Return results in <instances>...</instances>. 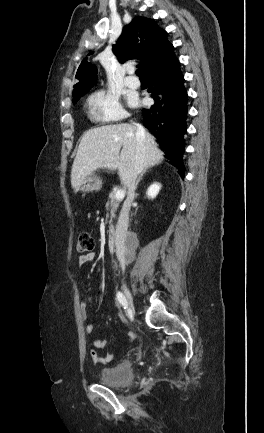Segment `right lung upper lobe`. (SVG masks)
<instances>
[{
    "label": "right lung upper lobe",
    "instance_id": "right-lung-upper-lobe-1",
    "mask_svg": "<svg viewBox=\"0 0 264 433\" xmlns=\"http://www.w3.org/2000/svg\"><path fill=\"white\" fill-rule=\"evenodd\" d=\"M113 53L120 62L138 59L144 75L153 68L168 62L174 54V47L167 39V32L160 29L154 20L137 16L126 25L116 44ZM97 68L85 59L80 64L74 85L73 100L80 98L96 82Z\"/></svg>",
    "mask_w": 264,
    "mask_h": 433
}]
</instances>
